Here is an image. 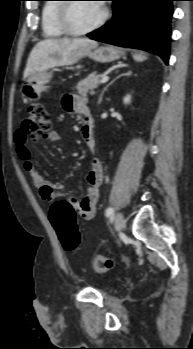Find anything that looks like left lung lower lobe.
<instances>
[{
  "instance_id": "0a47b994",
  "label": "left lung lower lobe",
  "mask_w": 193,
  "mask_h": 349,
  "mask_svg": "<svg viewBox=\"0 0 193 349\" xmlns=\"http://www.w3.org/2000/svg\"><path fill=\"white\" fill-rule=\"evenodd\" d=\"M111 22L87 34L93 40L157 53L169 60L170 18L175 0H112Z\"/></svg>"
}]
</instances>
